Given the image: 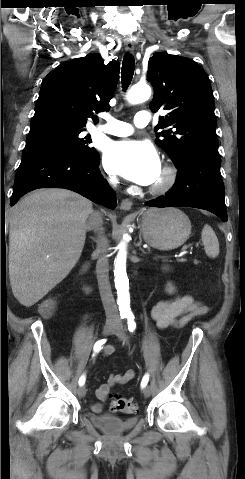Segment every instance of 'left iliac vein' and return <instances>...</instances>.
<instances>
[{"mask_svg":"<svg viewBox=\"0 0 245 479\" xmlns=\"http://www.w3.org/2000/svg\"><path fill=\"white\" fill-rule=\"evenodd\" d=\"M114 334L123 342L128 343V338L126 336L123 324L121 322L117 323V327L114 330ZM143 394L145 397H149L151 394V387L150 386L144 387Z\"/></svg>","mask_w":245,"mask_h":479,"instance_id":"left-iliac-vein-1","label":"left iliac vein"}]
</instances>
